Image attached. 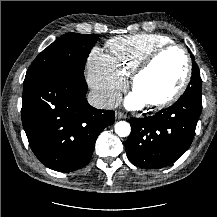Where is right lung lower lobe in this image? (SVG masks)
Returning <instances> with one entry per match:
<instances>
[{"label": "right lung lower lobe", "mask_w": 217, "mask_h": 217, "mask_svg": "<svg viewBox=\"0 0 217 217\" xmlns=\"http://www.w3.org/2000/svg\"><path fill=\"white\" fill-rule=\"evenodd\" d=\"M23 84L22 123L35 156L59 172L85 166L98 135L114 122V111L90 106L86 81L64 66Z\"/></svg>", "instance_id": "1"}]
</instances>
